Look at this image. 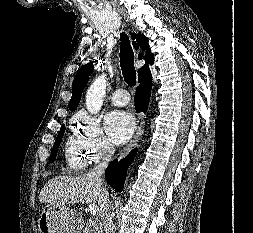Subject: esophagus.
I'll return each mask as SVG.
<instances>
[{
    "label": "esophagus",
    "mask_w": 253,
    "mask_h": 233,
    "mask_svg": "<svg viewBox=\"0 0 253 233\" xmlns=\"http://www.w3.org/2000/svg\"><path fill=\"white\" fill-rule=\"evenodd\" d=\"M144 130V115L140 113L137 117V127L133 136V139L130 143L124 148V150L120 153V157L126 156L138 143L140 140L142 133Z\"/></svg>",
    "instance_id": "34e87169"
}]
</instances>
